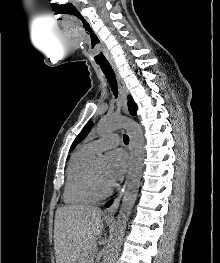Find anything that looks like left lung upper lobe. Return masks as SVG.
Here are the masks:
<instances>
[{
  "label": "left lung upper lobe",
  "instance_id": "1",
  "mask_svg": "<svg viewBox=\"0 0 220 263\" xmlns=\"http://www.w3.org/2000/svg\"><path fill=\"white\" fill-rule=\"evenodd\" d=\"M128 107H129L130 114L135 115L136 111H137V105L135 104L132 97H130V96L128 97ZM91 127H92V122H89L84 126L82 131L79 133V135L74 140L70 150H73L75 148V146L87 136Z\"/></svg>",
  "mask_w": 220,
  "mask_h": 263
}]
</instances>
